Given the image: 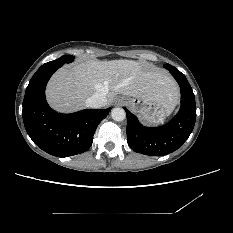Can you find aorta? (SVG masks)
Instances as JSON below:
<instances>
[{"label": "aorta", "instance_id": "1", "mask_svg": "<svg viewBox=\"0 0 233 233\" xmlns=\"http://www.w3.org/2000/svg\"><path fill=\"white\" fill-rule=\"evenodd\" d=\"M111 116L115 121H123L126 117V112L123 108L116 107L111 111Z\"/></svg>", "mask_w": 233, "mask_h": 233}]
</instances>
